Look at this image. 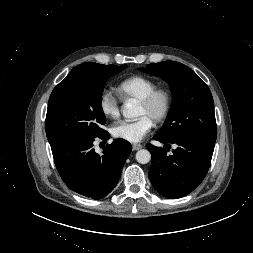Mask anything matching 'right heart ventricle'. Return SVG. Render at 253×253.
Listing matches in <instances>:
<instances>
[{
  "label": "right heart ventricle",
  "instance_id": "1",
  "mask_svg": "<svg viewBox=\"0 0 253 253\" xmlns=\"http://www.w3.org/2000/svg\"><path fill=\"white\" fill-rule=\"evenodd\" d=\"M157 87V83L146 76L136 75L121 81L117 90L124 99L140 100Z\"/></svg>",
  "mask_w": 253,
  "mask_h": 253
}]
</instances>
